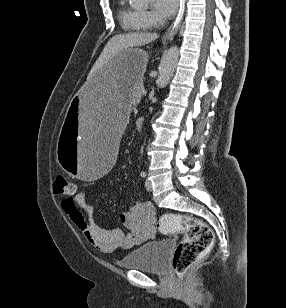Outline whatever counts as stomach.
<instances>
[{
  "mask_svg": "<svg viewBox=\"0 0 286 308\" xmlns=\"http://www.w3.org/2000/svg\"><path fill=\"white\" fill-rule=\"evenodd\" d=\"M147 62L142 49L122 50L102 60V67L70 100L68 118H62L57 161L77 182H100L113 168L119 125H127L132 91Z\"/></svg>",
  "mask_w": 286,
  "mask_h": 308,
  "instance_id": "0dacf381",
  "label": "stomach"
}]
</instances>
